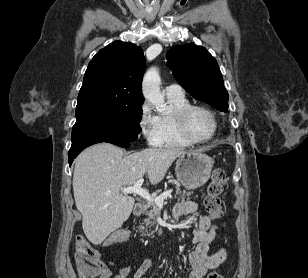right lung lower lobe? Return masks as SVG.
Instances as JSON below:
<instances>
[{"label": "right lung lower lobe", "instance_id": "1", "mask_svg": "<svg viewBox=\"0 0 308 278\" xmlns=\"http://www.w3.org/2000/svg\"><path fill=\"white\" fill-rule=\"evenodd\" d=\"M100 142H108V143H112L115 144L117 146L120 147H128L130 146L129 142H117V141H84V142H78V143H74L71 145V148L68 152V156H69V165L72 164L74 158L77 157V155L86 147L96 144V143H100Z\"/></svg>", "mask_w": 308, "mask_h": 278}]
</instances>
